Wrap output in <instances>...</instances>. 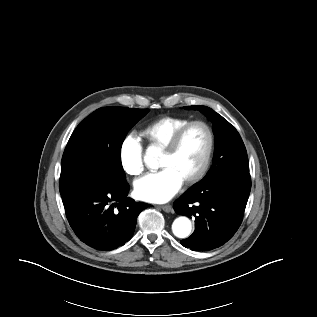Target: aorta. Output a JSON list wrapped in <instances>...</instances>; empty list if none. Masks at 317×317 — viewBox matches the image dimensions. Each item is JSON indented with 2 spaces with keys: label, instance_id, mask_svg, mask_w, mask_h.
I'll return each mask as SVG.
<instances>
[{
  "label": "aorta",
  "instance_id": "1",
  "mask_svg": "<svg viewBox=\"0 0 317 317\" xmlns=\"http://www.w3.org/2000/svg\"><path fill=\"white\" fill-rule=\"evenodd\" d=\"M158 155L159 151L157 148L149 147L144 156L146 166L150 168H158ZM191 230V221L185 216L176 218L172 223V232L178 238H187L190 235Z\"/></svg>",
  "mask_w": 317,
  "mask_h": 317
}]
</instances>
